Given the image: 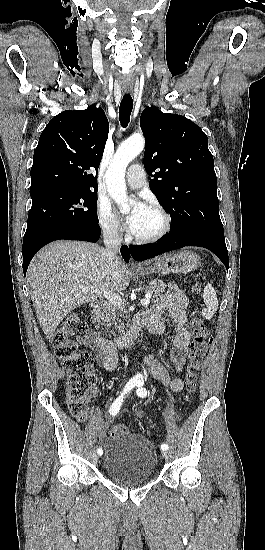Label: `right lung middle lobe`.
<instances>
[{"label": "right lung middle lobe", "mask_w": 265, "mask_h": 550, "mask_svg": "<svg viewBox=\"0 0 265 550\" xmlns=\"http://www.w3.org/2000/svg\"><path fill=\"white\" fill-rule=\"evenodd\" d=\"M32 207L24 238L65 224H98L97 193L58 187L30 190Z\"/></svg>", "instance_id": "obj_1"}]
</instances>
